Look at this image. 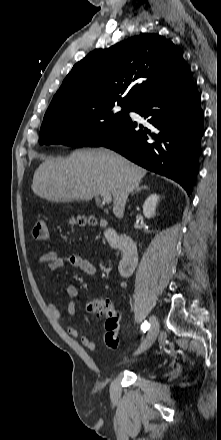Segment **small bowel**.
Returning a JSON list of instances; mask_svg holds the SVG:
<instances>
[{
  "label": "small bowel",
  "mask_w": 221,
  "mask_h": 440,
  "mask_svg": "<svg viewBox=\"0 0 221 440\" xmlns=\"http://www.w3.org/2000/svg\"><path fill=\"white\" fill-rule=\"evenodd\" d=\"M37 264L39 267H45L49 270H57L65 266H71L80 269L88 276H92L96 273V267L90 260L76 254H64L58 256V254L54 250H48L40 255ZM122 286L124 287L125 284L123 283ZM65 292L66 295L71 299L67 308V312L69 315H73L79 296L78 289L74 284H67L65 287ZM46 307L55 321L60 322L62 320V314L54 303L48 302L46 304ZM67 332L71 337L80 338V342L84 347L90 350H95L97 348V343L88 336H81L79 330L76 327H68Z\"/></svg>",
  "instance_id": "small-bowel-1"
}]
</instances>
